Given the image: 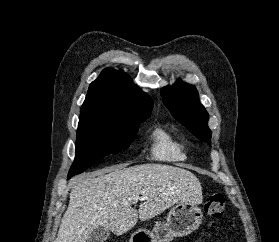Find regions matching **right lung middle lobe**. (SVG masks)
Returning a JSON list of instances; mask_svg holds the SVG:
<instances>
[{
  "label": "right lung middle lobe",
  "mask_w": 279,
  "mask_h": 242,
  "mask_svg": "<svg viewBox=\"0 0 279 242\" xmlns=\"http://www.w3.org/2000/svg\"><path fill=\"white\" fill-rule=\"evenodd\" d=\"M79 119L76 157L68 178L82 173L102 157L128 149L140 123L125 124L92 117Z\"/></svg>",
  "instance_id": "right-lung-middle-lobe-1"
}]
</instances>
